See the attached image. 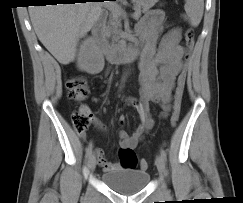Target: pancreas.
I'll use <instances>...</instances> for the list:
<instances>
[{
    "mask_svg": "<svg viewBox=\"0 0 243 203\" xmlns=\"http://www.w3.org/2000/svg\"><path fill=\"white\" fill-rule=\"evenodd\" d=\"M158 0H132L133 9L140 17L142 13H146L152 8ZM104 33L107 37H112V42H118L123 36L121 30V15L117 12H111L109 19L104 26Z\"/></svg>",
    "mask_w": 243,
    "mask_h": 203,
    "instance_id": "cf45deb5",
    "label": "pancreas"
}]
</instances>
